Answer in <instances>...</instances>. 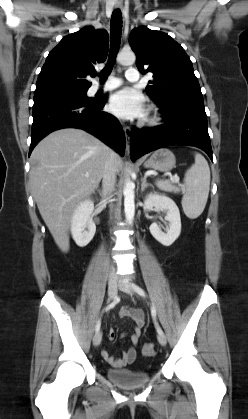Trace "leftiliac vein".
<instances>
[{"mask_svg": "<svg viewBox=\"0 0 248 419\" xmlns=\"http://www.w3.org/2000/svg\"><path fill=\"white\" fill-rule=\"evenodd\" d=\"M119 289L127 294H134L135 292L134 287L131 285V283L127 281H120ZM157 339L162 346L166 345L167 340H166V336L163 333L158 334Z\"/></svg>", "mask_w": 248, "mask_h": 419, "instance_id": "left-iliac-vein-1", "label": "left iliac vein"}]
</instances>
